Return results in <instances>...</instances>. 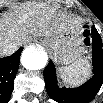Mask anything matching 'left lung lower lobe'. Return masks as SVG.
<instances>
[{
    "label": "left lung lower lobe",
    "instance_id": "obj_1",
    "mask_svg": "<svg viewBox=\"0 0 103 103\" xmlns=\"http://www.w3.org/2000/svg\"><path fill=\"white\" fill-rule=\"evenodd\" d=\"M92 35V63L93 77L78 88H60L57 84L55 67L52 61L44 70L46 90L49 96L60 103H89L96 96L103 83V49L102 41L93 26Z\"/></svg>",
    "mask_w": 103,
    "mask_h": 103
}]
</instances>
